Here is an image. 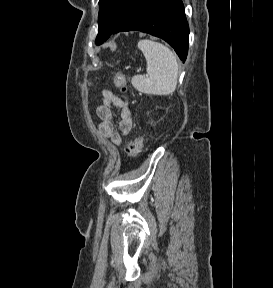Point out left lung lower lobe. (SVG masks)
Returning <instances> with one entry per match:
<instances>
[{"mask_svg":"<svg viewBox=\"0 0 273 288\" xmlns=\"http://www.w3.org/2000/svg\"><path fill=\"white\" fill-rule=\"evenodd\" d=\"M141 31L169 43L186 60L189 27L182 0H133L114 33Z\"/></svg>","mask_w":273,"mask_h":288,"instance_id":"obj_1","label":"left lung lower lobe"}]
</instances>
